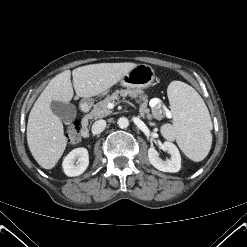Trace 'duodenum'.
<instances>
[{
  "instance_id": "410a0bca",
  "label": "duodenum",
  "mask_w": 247,
  "mask_h": 247,
  "mask_svg": "<svg viewBox=\"0 0 247 247\" xmlns=\"http://www.w3.org/2000/svg\"><path fill=\"white\" fill-rule=\"evenodd\" d=\"M89 103L84 102L81 106L82 112H87L89 110ZM81 136L87 138L89 136L88 121L83 119L81 122Z\"/></svg>"
}]
</instances>
